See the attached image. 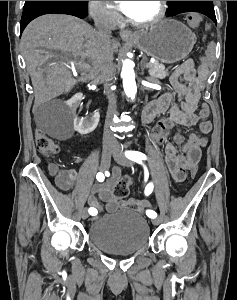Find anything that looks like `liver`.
<instances>
[{"label":"liver","mask_w":237,"mask_h":300,"mask_svg":"<svg viewBox=\"0 0 237 300\" xmlns=\"http://www.w3.org/2000/svg\"><path fill=\"white\" fill-rule=\"evenodd\" d=\"M99 41L98 31L71 15H43L31 21L21 37V49L34 87L35 103L38 99L44 101L46 95L60 93L64 78L71 77L69 63L87 73L86 77L74 79V83L95 79L101 69ZM110 43L116 53L119 43ZM86 59L92 67L83 63Z\"/></svg>","instance_id":"1"}]
</instances>
